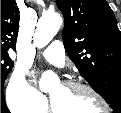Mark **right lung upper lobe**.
<instances>
[{"mask_svg":"<svg viewBox=\"0 0 121 113\" xmlns=\"http://www.w3.org/2000/svg\"><path fill=\"white\" fill-rule=\"evenodd\" d=\"M19 29V9L15 0H1V52L15 50Z\"/></svg>","mask_w":121,"mask_h":113,"instance_id":"cb5924a9","label":"right lung upper lobe"}]
</instances>
